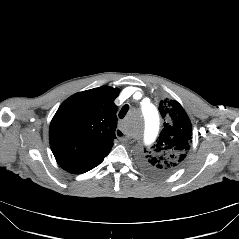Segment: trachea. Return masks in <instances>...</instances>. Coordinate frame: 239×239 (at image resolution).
<instances>
[{"instance_id":"3493384b","label":"trachea","mask_w":239,"mask_h":239,"mask_svg":"<svg viewBox=\"0 0 239 239\" xmlns=\"http://www.w3.org/2000/svg\"><path fill=\"white\" fill-rule=\"evenodd\" d=\"M128 110H129V106L128 105H124L122 107V109L120 110V112H119V118H124L126 113L128 112Z\"/></svg>"}]
</instances>
